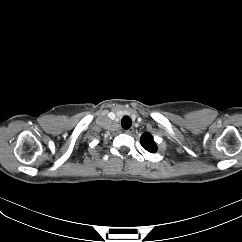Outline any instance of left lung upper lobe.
I'll list each match as a JSON object with an SVG mask.
<instances>
[{
  "instance_id": "1",
  "label": "left lung upper lobe",
  "mask_w": 242,
  "mask_h": 242,
  "mask_svg": "<svg viewBox=\"0 0 242 242\" xmlns=\"http://www.w3.org/2000/svg\"><path fill=\"white\" fill-rule=\"evenodd\" d=\"M141 145L148 152L155 153L157 151V146L153 140V137L149 133H144L141 136Z\"/></svg>"
}]
</instances>
